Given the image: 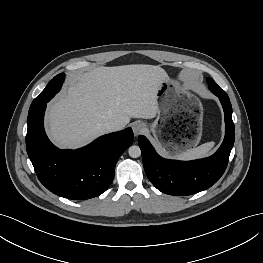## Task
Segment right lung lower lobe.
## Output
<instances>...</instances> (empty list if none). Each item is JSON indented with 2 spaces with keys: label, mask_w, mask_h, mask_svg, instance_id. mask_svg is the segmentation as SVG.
I'll use <instances>...</instances> for the list:
<instances>
[{
  "label": "right lung lower lobe",
  "mask_w": 263,
  "mask_h": 263,
  "mask_svg": "<svg viewBox=\"0 0 263 263\" xmlns=\"http://www.w3.org/2000/svg\"><path fill=\"white\" fill-rule=\"evenodd\" d=\"M46 103L30 110L27 118V153L40 182L54 194L73 200L102 194L114 178L117 160L133 142L132 129L101 136L77 150H60L44 131Z\"/></svg>",
  "instance_id": "right-lung-lower-lobe-1"
}]
</instances>
